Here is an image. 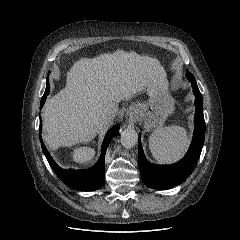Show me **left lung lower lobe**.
Returning <instances> with one entry per match:
<instances>
[{
	"mask_svg": "<svg viewBox=\"0 0 240 240\" xmlns=\"http://www.w3.org/2000/svg\"><path fill=\"white\" fill-rule=\"evenodd\" d=\"M187 78L193 86L196 110L194 117L195 128L193 140L185 157L173 165H153L145 158L140 138L138 140V160L141 177L143 182L153 189H169L184 182L193 172L202 151L205 138L202 95L190 72L187 73Z\"/></svg>",
	"mask_w": 240,
	"mask_h": 240,
	"instance_id": "obj_1",
	"label": "left lung lower lobe"
}]
</instances>
